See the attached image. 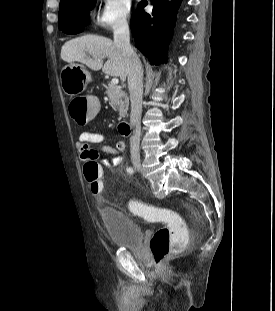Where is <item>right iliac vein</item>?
<instances>
[{
	"mask_svg": "<svg viewBox=\"0 0 275 311\" xmlns=\"http://www.w3.org/2000/svg\"><path fill=\"white\" fill-rule=\"evenodd\" d=\"M132 163H133L135 168L140 169V167H141V160H140V158H134L132 160Z\"/></svg>",
	"mask_w": 275,
	"mask_h": 311,
	"instance_id": "right-iliac-vein-1",
	"label": "right iliac vein"
}]
</instances>
